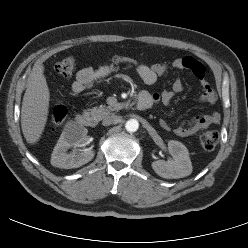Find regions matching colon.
Returning a JSON list of instances; mask_svg holds the SVG:
<instances>
[{"label":"colon","instance_id":"5ec220e1","mask_svg":"<svg viewBox=\"0 0 248 248\" xmlns=\"http://www.w3.org/2000/svg\"><path fill=\"white\" fill-rule=\"evenodd\" d=\"M111 60L116 64H123L136 67L140 63L128 56L113 55ZM76 68V60L73 57H66L54 66L55 73L61 77H70ZM67 108L63 104H56L52 110L51 122L54 126L61 125L67 117ZM219 133L215 130L206 131L200 136V143L204 150L212 151L218 144Z\"/></svg>","mask_w":248,"mask_h":248}]
</instances>
